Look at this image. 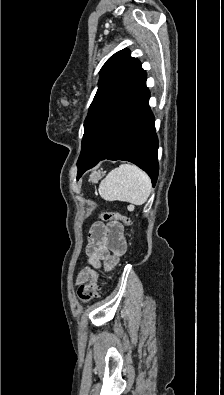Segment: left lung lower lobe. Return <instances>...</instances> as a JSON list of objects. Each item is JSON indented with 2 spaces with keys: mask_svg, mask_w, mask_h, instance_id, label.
Masks as SVG:
<instances>
[{
  "mask_svg": "<svg viewBox=\"0 0 224 395\" xmlns=\"http://www.w3.org/2000/svg\"><path fill=\"white\" fill-rule=\"evenodd\" d=\"M149 97L142 70L99 111L77 162V179L100 160H126L146 171L155 185L158 139Z\"/></svg>",
  "mask_w": 224,
  "mask_h": 395,
  "instance_id": "left-lung-lower-lobe-1",
  "label": "left lung lower lobe"
}]
</instances>
